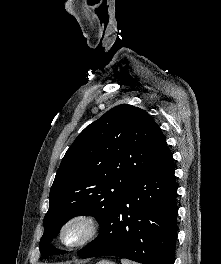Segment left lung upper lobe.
<instances>
[{"label":"left lung upper lobe","mask_w":221,"mask_h":264,"mask_svg":"<svg viewBox=\"0 0 221 264\" xmlns=\"http://www.w3.org/2000/svg\"><path fill=\"white\" fill-rule=\"evenodd\" d=\"M166 146L153 118L132 105H118L87 126L67 150L51 187L42 257L64 253L50 243L72 217L92 215L101 224Z\"/></svg>","instance_id":"5c2ea615"}]
</instances>
